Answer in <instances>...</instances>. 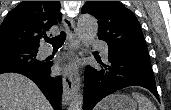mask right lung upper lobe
<instances>
[{
	"label": "right lung upper lobe",
	"instance_id": "right-lung-upper-lobe-1",
	"mask_svg": "<svg viewBox=\"0 0 171 110\" xmlns=\"http://www.w3.org/2000/svg\"><path fill=\"white\" fill-rule=\"evenodd\" d=\"M60 7L59 1H22L0 26V47L38 49L39 39L61 21Z\"/></svg>",
	"mask_w": 171,
	"mask_h": 110
}]
</instances>
